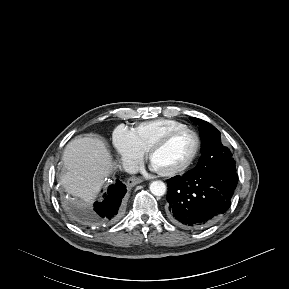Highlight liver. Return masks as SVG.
<instances>
[{
	"label": "liver",
	"instance_id": "liver-1",
	"mask_svg": "<svg viewBox=\"0 0 289 289\" xmlns=\"http://www.w3.org/2000/svg\"><path fill=\"white\" fill-rule=\"evenodd\" d=\"M63 162L61 184L86 203L94 200L113 167L105 143L92 136L71 140L65 147Z\"/></svg>",
	"mask_w": 289,
	"mask_h": 289
}]
</instances>
